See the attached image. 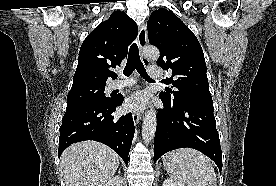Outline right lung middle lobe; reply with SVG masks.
<instances>
[{"label": "right lung middle lobe", "mask_w": 276, "mask_h": 186, "mask_svg": "<svg viewBox=\"0 0 276 186\" xmlns=\"http://www.w3.org/2000/svg\"><path fill=\"white\" fill-rule=\"evenodd\" d=\"M104 90L105 85H83L71 88L67 96L66 110L109 104L112 102L113 97H106Z\"/></svg>", "instance_id": "obj_1"}]
</instances>
